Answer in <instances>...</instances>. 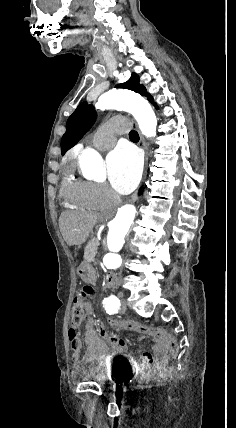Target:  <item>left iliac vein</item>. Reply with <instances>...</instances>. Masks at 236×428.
I'll list each match as a JSON object with an SVG mask.
<instances>
[{"mask_svg":"<svg viewBox=\"0 0 236 428\" xmlns=\"http://www.w3.org/2000/svg\"><path fill=\"white\" fill-rule=\"evenodd\" d=\"M120 302H121V304H126V299L122 298ZM124 309H127V306H124Z\"/></svg>","mask_w":236,"mask_h":428,"instance_id":"1","label":"left iliac vein"}]
</instances>
